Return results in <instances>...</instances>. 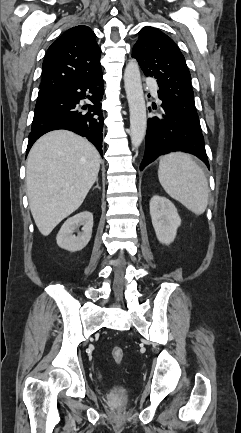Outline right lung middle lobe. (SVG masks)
<instances>
[{"mask_svg": "<svg viewBox=\"0 0 241 433\" xmlns=\"http://www.w3.org/2000/svg\"><path fill=\"white\" fill-rule=\"evenodd\" d=\"M47 97H48V95H39L36 105L43 102Z\"/></svg>", "mask_w": 241, "mask_h": 433, "instance_id": "right-lung-middle-lobe-1", "label": "right lung middle lobe"}]
</instances>
